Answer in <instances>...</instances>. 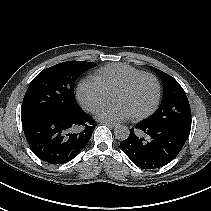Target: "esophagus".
Masks as SVG:
<instances>
[{"instance_id": "esophagus-1", "label": "esophagus", "mask_w": 211, "mask_h": 211, "mask_svg": "<svg viewBox=\"0 0 211 211\" xmlns=\"http://www.w3.org/2000/svg\"><path fill=\"white\" fill-rule=\"evenodd\" d=\"M104 124L107 125V126H109V127H111V128H114V127L117 126V124L111 123V122H104Z\"/></svg>"}]
</instances>
